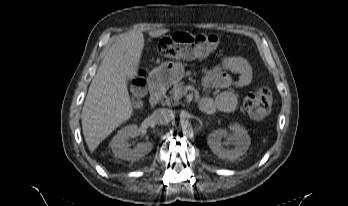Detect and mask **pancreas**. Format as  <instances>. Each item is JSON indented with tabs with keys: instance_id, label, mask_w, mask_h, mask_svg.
Wrapping results in <instances>:
<instances>
[{
	"instance_id": "obj_1",
	"label": "pancreas",
	"mask_w": 348,
	"mask_h": 206,
	"mask_svg": "<svg viewBox=\"0 0 348 206\" xmlns=\"http://www.w3.org/2000/svg\"><path fill=\"white\" fill-rule=\"evenodd\" d=\"M180 93V97H182L185 93V85L183 82L176 83L171 91L169 92V96L166 97V104L167 105H177L179 104V99L175 97L176 93Z\"/></svg>"
}]
</instances>
